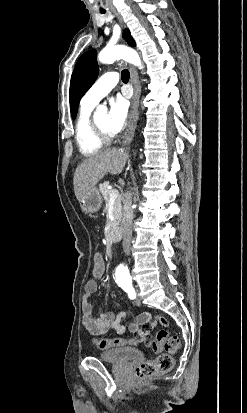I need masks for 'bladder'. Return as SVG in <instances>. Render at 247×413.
Instances as JSON below:
<instances>
[{"instance_id":"obj_1","label":"bladder","mask_w":247,"mask_h":413,"mask_svg":"<svg viewBox=\"0 0 247 413\" xmlns=\"http://www.w3.org/2000/svg\"><path fill=\"white\" fill-rule=\"evenodd\" d=\"M143 358V352L135 348H114L99 354V359L105 362L126 364L130 360Z\"/></svg>"}]
</instances>
